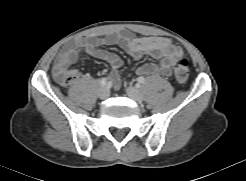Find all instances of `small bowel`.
<instances>
[{"mask_svg":"<svg viewBox=\"0 0 246 181\" xmlns=\"http://www.w3.org/2000/svg\"><path fill=\"white\" fill-rule=\"evenodd\" d=\"M122 46L134 59H141L149 55L156 62H147L139 66L136 72L140 75L159 74L163 77L171 75L173 63L183 55L182 49L171 39L164 37H134L128 33L110 34L106 37L85 36L70 41L58 54L54 61L53 71L69 69V66L78 61L82 54L106 61L112 68V79L115 85L119 84V70L122 59L115 52L105 49V46Z\"/></svg>","mask_w":246,"mask_h":181,"instance_id":"1","label":"small bowel"}]
</instances>
